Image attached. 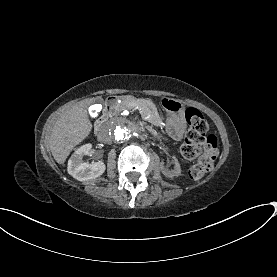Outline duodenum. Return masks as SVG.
I'll use <instances>...</instances> for the list:
<instances>
[{"label":"duodenum","mask_w":277,"mask_h":277,"mask_svg":"<svg viewBox=\"0 0 277 277\" xmlns=\"http://www.w3.org/2000/svg\"><path fill=\"white\" fill-rule=\"evenodd\" d=\"M124 99V96L119 95H112L106 99L102 114L100 119L96 122L95 125V132L99 133L103 128L105 120L110 115L111 111L113 110L114 106L117 104L119 100Z\"/></svg>","instance_id":"410a0bca"}]
</instances>
